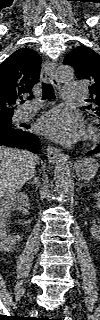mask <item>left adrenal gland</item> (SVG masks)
<instances>
[{
  "instance_id": "a2214340",
  "label": "left adrenal gland",
  "mask_w": 100,
  "mask_h": 320,
  "mask_svg": "<svg viewBox=\"0 0 100 320\" xmlns=\"http://www.w3.org/2000/svg\"><path fill=\"white\" fill-rule=\"evenodd\" d=\"M86 185L82 184V183H79V189H81L82 187H84Z\"/></svg>"
}]
</instances>
